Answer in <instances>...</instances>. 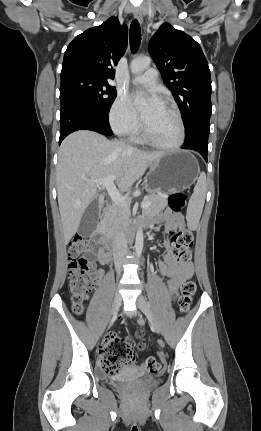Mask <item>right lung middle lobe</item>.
Wrapping results in <instances>:
<instances>
[{
  "instance_id": "1",
  "label": "right lung middle lobe",
  "mask_w": 261,
  "mask_h": 431,
  "mask_svg": "<svg viewBox=\"0 0 261 431\" xmlns=\"http://www.w3.org/2000/svg\"><path fill=\"white\" fill-rule=\"evenodd\" d=\"M117 96L115 87L94 76L75 73L61 77L60 99L69 100L107 115Z\"/></svg>"
}]
</instances>
